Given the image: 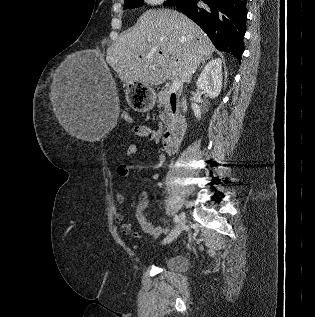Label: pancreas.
I'll return each instance as SVG.
<instances>
[{"instance_id":"obj_1","label":"pancreas","mask_w":315,"mask_h":317,"mask_svg":"<svg viewBox=\"0 0 315 317\" xmlns=\"http://www.w3.org/2000/svg\"><path fill=\"white\" fill-rule=\"evenodd\" d=\"M170 94L167 89L162 90L158 93V107H165L164 112L161 114V119L164 122V126L168 124V122L171 119V113H170ZM160 127L162 128L163 125L160 124Z\"/></svg>"}]
</instances>
